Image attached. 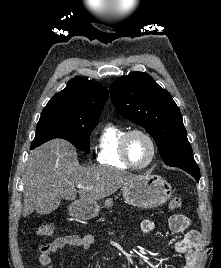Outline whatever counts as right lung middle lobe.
I'll list each match as a JSON object with an SVG mask.
<instances>
[{"label": "right lung middle lobe", "instance_id": "1", "mask_svg": "<svg viewBox=\"0 0 221 268\" xmlns=\"http://www.w3.org/2000/svg\"><path fill=\"white\" fill-rule=\"evenodd\" d=\"M97 123L98 120L83 119L66 113L42 112L31 149L51 139L62 138L78 149L89 151V136Z\"/></svg>", "mask_w": 221, "mask_h": 268}]
</instances>
